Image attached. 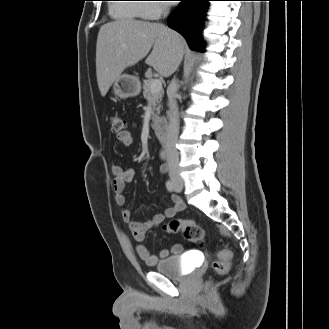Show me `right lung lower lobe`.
Masks as SVG:
<instances>
[{"label":"right lung lower lobe","instance_id":"1","mask_svg":"<svg viewBox=\"0 0 329 329\" xmlns=\"http://www.w3.org/2000/svg\"><path fill=\"white\" fill-rule=\"evenodd\" d=\"M181 1L180 6L169 16L167 24L185 37L191 49L203 51L200 27L209 0Z\"/></svg>","mask_w":329,"mask_h":329}]
</instances>
